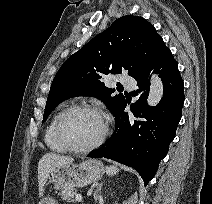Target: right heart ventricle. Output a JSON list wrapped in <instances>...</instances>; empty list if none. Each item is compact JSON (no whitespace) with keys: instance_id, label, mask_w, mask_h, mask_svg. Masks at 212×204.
<instances>
[{"instance_id":"right-heart-ventricle-1","label":"right heart ventricle","mask_w":212,"mask_h":204,"mask_svg":"<svg viewBox=\"0 0 212 204\" xmlns=\"http://www.w3.org/2000/svg\"><path fill=\"white\" fill-rule=\"evenodd\" d=\"M61 111L56 113L53 118L51 119L49 125L47 126V129L45 131V143L48 146V148L54 152L62 153L66 150L64 147L59 143L56 133H55V126L57 119L60 115Z\"/></svg>"}]
</instances>
